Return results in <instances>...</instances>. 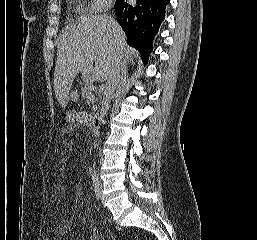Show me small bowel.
Wrapping results in <instances>:
<instances>
[{"label":"small bowel","instance_id":"c3829d8e","mask_svg":"<svg viewBox=\"0 0 257 240\" xmlns=\"http://www.w3.org/2000/svg\"><path fill=\"white\" fill-rule=\"evenodd\" d=\"M71 224H72L71 220H69V219H63L62 224H61V228H60V230H59V233H60L61 235L64 234L67 230L70 229Z\"/></svg>","mask_w":257,"mask_h":240}]
</instances>
